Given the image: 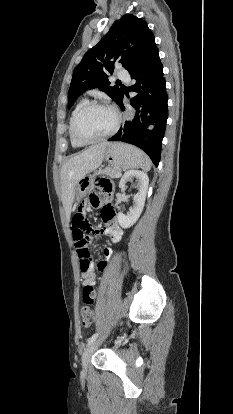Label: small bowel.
Wrapping results in <instances>:
<instances>
[{"label":"small bowel","mask_w":233,"mask_h":414,"mask_svg":"<svg viewBox=\"0 0 233 414\" xmlns=\"http://www.w3.org/2000/svg\"><path fill=\"white\" fill-rule=\"evenodd\" d=\"M110 193H104L103 191H100L98 194L93 195V197L90 200V205L88 206V209H90L91 207L98 206L101 201V198L103 196L110 195ZM101 216L104 221V226L98 228L96 230V233L105 234L111 239V241L119 242L122 237V229L120 228L117 222L113 207L109 205L104 207L102 210ZM72 232L74 234V229ZM103 256H104L103 260L98 263V269L100 271H103L105 269L107 265V261L112 256V250L108 248L104 249ZM81 273L83 277V287L92 286L94 288L96 281H95V273L93 270V266H91V268L87 271L81 270Z\"/></svg>","instance_id":"1"}]
</instances>
